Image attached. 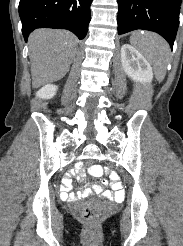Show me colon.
I'll list each match as a JSON object with an SVG mask.
<instances>
[{
	"label": "colon",
	"instance_id": "obj_1",
	"mask_svg": "<svg viewBox=\"0 0 183 246\" xmlns=\"http://www.w3.org/2000/svg\"><path fill=\"white\" fill-rule=\"evenodd\" d=\"M83 165L85 167H95L96 163L92 162V160H83ZM80 217L85 223L89 225H94L97 223L99 215L93 208L84 207L80 211Z\"/></svg>",
	"mask_w": 183,
	"mask_h": 246
}]
</instances>
